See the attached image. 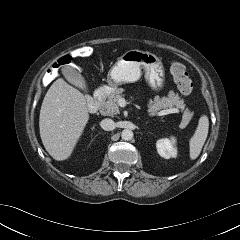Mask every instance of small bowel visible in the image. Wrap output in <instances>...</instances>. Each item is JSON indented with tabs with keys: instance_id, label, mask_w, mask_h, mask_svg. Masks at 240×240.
Masks as SVG:
<instances>
[{
	"instance_id": "1",
	"label": "small bowel",
	"mask_w": 240,
	"mask_h": 240,
	"mask_svg": "<svg viewBox=\"0 0 240 240\" xmlns=\"http://www.w3.org/2000/svg\"><path fill=\"white\" fill-rule=\"evenodd\" d=\"M52 73H53L52 70H48V71H47V76H48L49 78H51V77H52Z\"/></svg>"
}]
</instances>
